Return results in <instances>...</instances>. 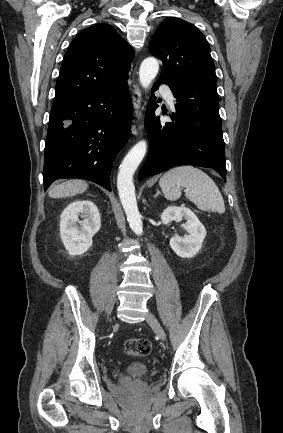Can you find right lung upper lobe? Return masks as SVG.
Here are the masks:
<instances>
[{
  "label": "right lung upper lobe",
  "mask_w": 283,
  "mask_h": 433,
  "mask_svg": "<svg viewBox=\"0 0 283 433\" xmlns=\"http://www.w3.org/2000/svg\"><path fill=\"white\" fill-rule=\"evenodd\" d=\"M133 58V49L111 25L86 28L64 56L54 101L120 85L128 77Z\"/></svg>",
  "instance_id": "obj_1"
}]
</instances>
